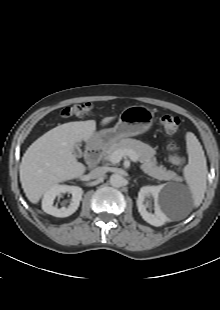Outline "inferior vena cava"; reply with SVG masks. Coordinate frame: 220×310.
<instances>
[{
  "instance_id": "1",
  "label": "inferior vena cava",
  "mask_w": 220,
  "mask_h": 310,
  "mask_svg": "<svg viewBox=\"0 0 220 310\" xmlns=\"http://www.w3.org/2000/svg\"><path fill=\"white\" fill-rule=\"evenodd\" d=\"M105 173H106L105 167H97L89 173V176L92 179H96V178L103 176Z\"/></svg>"
}]
</instances>
